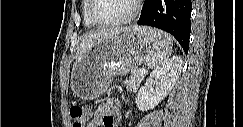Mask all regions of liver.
I'll use <instances>...</instances> for the list:
<instances>
[{"label":"liver","instance_id":"obj_1","mask_svg":"<svg viewBox=\"0 0 243 127\" xmlns=\"http://www.w3.org/2000/svg\"><path fill=\"white\" fill-rule=\"evenodd\" d=\"M124 28H114V29H103L96 30L85 34L79 39L77 57L87 53L90 49L102 38H105L109 35H113L114 33L123 30Z\"/></svg>","mask_w":243,"mask_h":127}]
</instances>
